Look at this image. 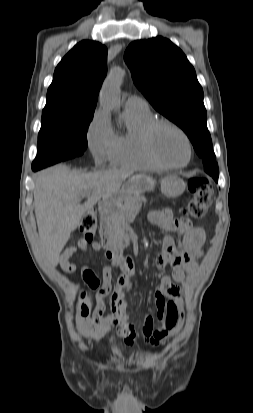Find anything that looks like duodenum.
I'll list each match as a JSON object with an SVG mask.
<instances>
[{
  "label": "duodenum",
  "mask_w": 253,
  "mask_h": 413,
  "mask_svg": "<svg viewBox=\"0 0 253 413\" xmlns=\"http://www.w3.org/2000/svg\"><path fill=\"white\" fill-rule=\"evenodd\" d=\"M111 209L112 205L108 200H102L99 203V211L101 214H106ZM100 234L104 241L106 251L113 257H119L121 255L122 249L113 239L110 229L104 225L101 228Z\"/></svg>",
  "instance_id": "duodenum-1"
}]
</instances>
